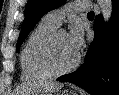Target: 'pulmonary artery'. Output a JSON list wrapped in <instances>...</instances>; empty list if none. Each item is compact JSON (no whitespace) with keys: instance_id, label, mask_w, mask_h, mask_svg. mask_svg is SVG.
I'll use <instances>...</instances> for the list:
<instances>
[{"instance_id":"pulmonary-artery-1","label":"pulmonary artery","mask_w":119,"mask_h":95,"mask_svg":"<svg viewBox=\"0 0 119 95\" xmlns=\"http://www.w3.org/2000/svg\"><path fill=\"white\" fill-rule=\"evenodd\" d=\"M90 8L91 5L88 1H75L71 4L65 5L62 8L49 12L45 18L59 26L66 14L75 11H87L90 10Z\"/></svg>"}]
</instances>
